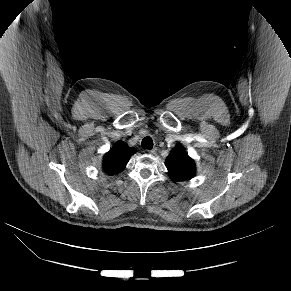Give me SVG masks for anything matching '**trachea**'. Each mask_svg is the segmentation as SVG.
<instances>
[{
    "label": "trachea",
    "mask_w": 291,
    "mask_h": 291,
    "mask_svg": "<svg viewBox=\"0 0 291 291\" xmlns=\"http://www.w3.org/2000/svg\"><path fill=\"white\" fill-rule=\"evenodd\" d=\"M141 145L143 149L151 150L153 148V140L147 136L143 138Z\"/></svg>",
    "instance_id": "1"
}]
</instances>
